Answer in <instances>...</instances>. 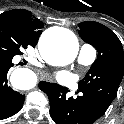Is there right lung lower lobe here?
Wrapping results in <instances>:
<instances>
[{
  "label": "right lung lower lobe",
  "mask_w": 124,
  "mask_h": 124,
  "mask_svg": "<svg viewBox=\"0 0 124 124\" xmlns=\"http://www.w3.org/2000/svg\"><path fill=\"white\" fill-rule=\"evenodd\" d=\"M13 66L12 60L0 58V120L18 113L25 99V95L14 91L8 85V72Z\"/></svg>",
  "instance_id": "obj_1"
}]
</instances>
